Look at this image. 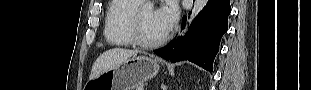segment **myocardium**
<instances>
[{"instance_id": "1", "label": "myocardium", "mask_w": 311, "mask_h": 90, "mask_svg": "<svg viewBox=\"0 0 311 90\" xmlns=\"http://www.w3.org/2000/svg\"><path fill=\"white\" fill-rule=\"evenodd\" d=\"M141 12L142 8H138L132 15L130 21L131 34L134 44L142 48H155L162 45L169 37V33H165L162 37L154 41H148L144 38L141 28Z\"/></svg>"}]
</instances>
